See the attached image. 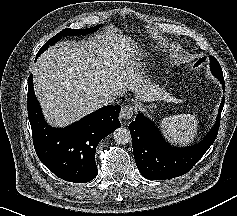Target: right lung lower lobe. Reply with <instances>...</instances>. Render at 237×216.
<instances>
[{"instance_id":"1","label":"right lung lower lobe","mask_w":237,"mask_h":216,"mask_svg":"<svg viewBox=\"0 0 237 216\" xmlns=\"http://www.w3.org/2000/svg\"><path fill=\"white\" fill-rule=\"evenodd\" d=\"M28 118L33 144L41 162L59 178L86 183L97 174L95 152L98 143L119 128L121 106H105L78 122L63 128L50 127L44 120L33 89V79H28Z\"/></svg>"}]
</instances>
